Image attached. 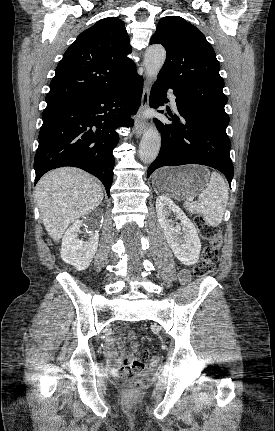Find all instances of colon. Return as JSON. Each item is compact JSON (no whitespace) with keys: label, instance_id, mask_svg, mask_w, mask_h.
Masks as SVG:
<instances>
[{"label":"colon","instance_id":"colon-1","mask_svg":"<svg viewBox=\"0 0 275 431\" xmlns=\"http://www.w3.org/2000/svg\"><path fill=\"white\" fill-rule=\"evenodd\" d=\"M195 224L200 236L208 244L204 247L200 259L193 268V272L198 277H204L210 274L215 268L219 249L222 244V235L219 227L208 224L202 216L195 218ZM135 336L134 331L128 333L130 339H134ZM131 348L135 352L139 351V345L136 343H133ZM147 360H149L151 365H155L158 363L159 357H150L148 351L141 350L135 359L125 363L120 368L119 374L126 379L125 388L129 394H135L140 390L141 382L137 379V375L145 368Z\"/></svg>","mask_w":275,"mask_h":431}]
</instances>
